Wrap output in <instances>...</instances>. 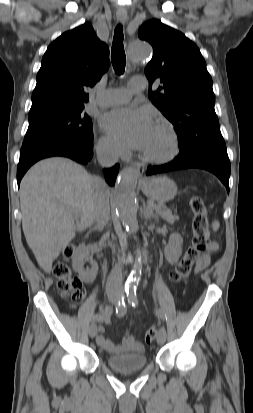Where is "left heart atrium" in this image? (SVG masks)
Listing matches in <instances>:
<instances>
[{"mask_svg": "<svg viewBox=\"0 0 253 413\" xmlns=\"http://www.w3.org/2000/svg\"><path fill=\"white\" fill-rule=\"evenodd\" d=\"M104 127L122 143L143 149L154 123L143 108H125L111 111L103 119Z\"/></svg>", "mask_w": 253, "mask_h": 413, "instance_id": "obj_1", "label": "left heart atrium"}]
</instances>
